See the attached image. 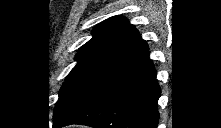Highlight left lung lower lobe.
Instances as JSON below:
<instances>
[{
    "label": "left lung lower lobe",
    "instance_id": "0a47b994",
    "mask_svg": "<svg viewBox=\"0 0 221 128\" xmlns=\"http://www.w3.org/2000/svg\"><path fill=\"white\" fill-rule=\"evenodd\" d=\"M160 93L156 70L148 55L63 126L82 124L94 128H157Z\"/></svg>",
    "mask_w": 221,
    "mask_h": 128
}]
</instances>
